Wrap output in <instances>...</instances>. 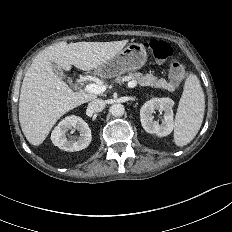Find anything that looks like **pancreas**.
<instances>
[{
    "mask_svg": "<svg viewBox=\"0 0 232 232\" xmlns=\"http://www.w3.org/2000/svg\"><path fill=\"white\" fill-rule=\"evenodd\" d=\"M127 77L129 80L137 79L141 86H151L155 88L167 89L170 92L175 90V87L168 83L164 78L159 79L153 74H146L143 76L141 73H130ZM123 79V77H117L114 82L120 84L123 83Z\"/></svg>",
    "mask_w": 232,
    "mask_h": 232,
    "instance_id": "cf45deb5",
    "label": "pancreas"
}]
</instances>
